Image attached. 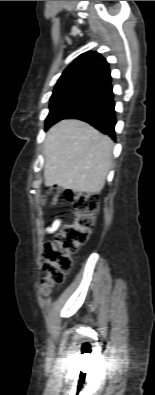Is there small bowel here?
<instances>
[{"label":"small bowel","mask_w":155,"mask_h":395,"mask_svg":"<svg viewBox=\"0 0 155 395\" xmlns=\"http://www.w3.org/2000/svg\"><path fill=\"white\" fill-rule=\"evenodd\" d=\"M61 225V221L59 219H56L53 221V223L47 228V233L52 234L56 232Z\"/></svg>","instance_id":"c3829d8e"}]
</instances>
